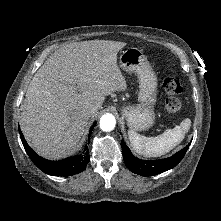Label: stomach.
Masks as SVG:
<instances>
[{
	"label": "stomach",
	"mask_w": 221,
	"mask_h": 221,
	"mask_svg": "<svg viewBox=\"0 0 221 221\" xmlns=\"http://www.w3.org/2000/svg\"><path fill=\"white\" fill-rule=\"evenodd\" d=\"M120 67L135 73L139 78V93L136 105H126L122 115L127 120L128 127L133 131L147 130L155 121L154 105L157 100V78L148 60L137 48H128L119 58Z\"/></svg>",
	"instance_id": "stomach-1"
}]
</instances>
